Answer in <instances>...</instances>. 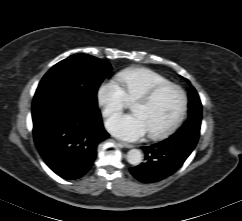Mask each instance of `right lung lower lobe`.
Listing matches in <instances>:
<instances>
[{
    "instance_id": "98d812e1",
    "label": "right lung lower lobe",
    "mask_w": 242,
    "mask_h": 221,
    "mask_svg": "<svg viewBox=\"0 0 242 221\" xmlns=\"http://www.w3.org/2000/svg\"><path fill=\"white\" fill-rule=\"evenodd\" d=\"M33 135L45 163L57 175L73 180L92 167L97 146L107 139L98 109L82 111L67 102L32 110Z\"/></svg>"
}]
</instances>
